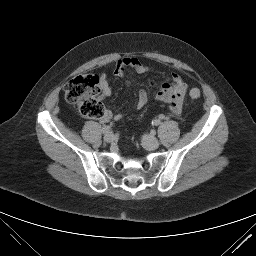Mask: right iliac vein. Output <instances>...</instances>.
<instances>
[{
	"label": "right iliac vein",
	"mask_w": 256,
	"mask_h": 256,
	"mask_svg": "<svg viewBox=\"0 0 256 256\" xmlns=\"http://www.w3.org/2000/svg\"><path fill=\"white\" fill-rule=\"evenodd\" d=\"M114 140V134L112 132H108L104 135V141L107 143H111Z\"/></svg>",
	"instance_id": "1"
}]
</instances>
